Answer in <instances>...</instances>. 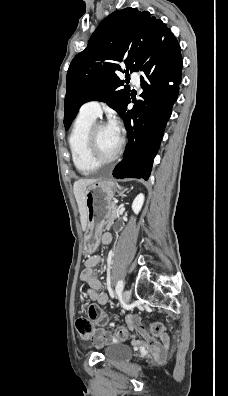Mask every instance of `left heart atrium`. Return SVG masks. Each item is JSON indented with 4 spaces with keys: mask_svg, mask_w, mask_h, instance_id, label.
<instances>
[{
    "mask_svg": "<svg viewBox=\"0 0 228 396\" xmlns=\"http://www.w3.org/2000/svg\"><path fill=\"white\" fill-rule=\"evenodd\" d=\"M109 127L117 134L119 135V126L116 120H111L109 123Z\"/></svg>",
    "mask_w": 228,
    "mask_h": 396,
    "instance_id": "left-heart-atrium-1",
    "label": "left heart atrium"
}]
</instances>
